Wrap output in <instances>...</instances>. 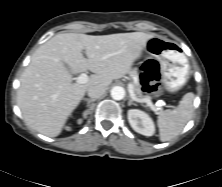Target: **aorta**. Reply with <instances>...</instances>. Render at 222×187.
Returning <instances> with one entry per match:
<instances>
[{
	"label": "aorta",
	"instance_id": "762f6f07",
	"mask_svg": "<svg viewBox=\"0 0 222 187\" xmlns=\"http://www.w3.org/2000/svg\"><path fill=\"white\" fill-rule=\"evenodd\" d=\"M111 97L114 100H122L125 97V90L121 86H114L111 89Z\"/></svg>",
	"mask_w": 222,
	"mask_h": 187
}]
</instances>
